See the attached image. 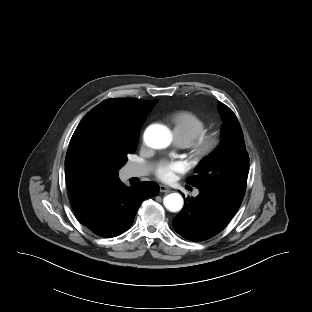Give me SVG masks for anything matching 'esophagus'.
<instances>
[{
    "label": "esophagus",
    "instance_id": "obj_1",
    "mask_svg": "<svg viewBox=\"0 0 312 312\" xmlns=\"http://www.w3.org/2000/svg\"><path fill=\"white\" fill-rule=\"evenodd\" d=\"M159 188H160L161 192H165V193H169L170 192V188L165 186V185H160Z\"/></svg>",
    "mask_w": 312,
    "mask_h": 312
}]
</instances>
